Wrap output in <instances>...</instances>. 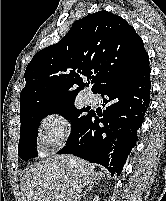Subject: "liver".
<instances>
[{"instance_id":"liver-1","label":"liver","mask_w":166,"mask_h":201,"mask_svg":"<svg viewBox=\"0 0 166 201\" xmlns=\"http://www.w3.org/2000/svg\"><path fill=\"white\" fill-rule=\"evenodd\" d=\"M96 174L94 165L84 160L70 155L52 156L25 170L20 182L22 201H78L76 186L82 189L90 185Z\"/></svg>"}]
</instances>
